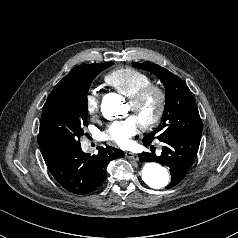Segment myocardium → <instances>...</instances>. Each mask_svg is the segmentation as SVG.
I'll return each instance as SVG.
<instances>
[{
	"mask_svg": "<svg viewBox=\"0 0 238 238\" xmlns=\"http://www.w3.org/2000/svg\"><path fill=\"white\" fill-rule=\"evenodd\" d=\"M152 96L156 100L155 111L149 118L139 123L140 127L145 130L154 127L163 117L166 107V93L161 86L149 83L129 98V105L134 111H138Z\"/></svg>",
	"mask_w": 238,
	"mask_h": 238,
	"instance_id": "obj_1",
	"label": "myocardium"
}]
</instances>
